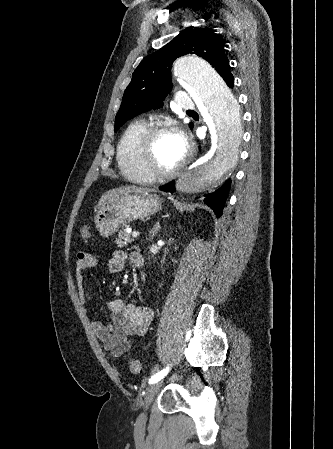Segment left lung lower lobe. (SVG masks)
<instances>
[{"label":"left lung lower lobe","instance_id":"obj_1","mask_svg":"<svg viewBox=\"0 0 333 449\" xmlns=\"http://www.w3.org/2000/svg\"><path fill=\"white\" fill-rule=\"evenodd\" d=\"M222 78L225 80L226 84L229 87L234 86V78L231 72H227ZM230 185L231 180L229 179L214 192L204 195V202L214 210L217 217H220L222 214L225 200L227 198V194L230 189ZM159 189L165 192H174L175 182L173 181L169 184L163 185L159 187Z\"/></svg>","mask_w":333,"mask_h":449}]
</instances>
